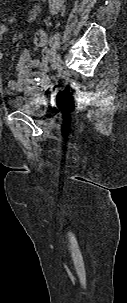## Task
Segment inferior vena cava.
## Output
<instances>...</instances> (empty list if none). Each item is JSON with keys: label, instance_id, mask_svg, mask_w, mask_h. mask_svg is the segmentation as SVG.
<instances>
[{"label": "inferior vena cava", "instance_id": "602c4592", "mask_svg": "<svg viewBox=\"0 0 127 303\" xmlns=\"http://www.w3.org/2000/svg\"><path fill=\"white\" fill-rule=\"evenodd\" d=\"M49 2V9L52 14H57L61 9L64 0H48Z\"/></svg>", "mask_w": 127, "mask_h": 303}]
</instances>
